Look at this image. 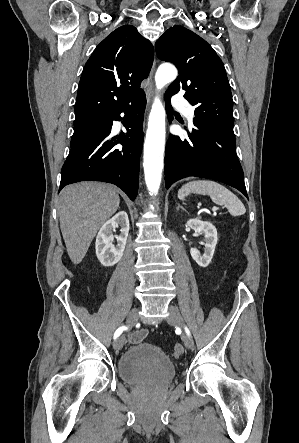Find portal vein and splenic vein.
<instances>
[{
    "instance_id": "obj_1",
    "label": "portal vein and splenic vein",
    "mask_w": 299,
    "mask_h": 443,
    "mask_svg": "<svg viewBox=\"0 0 299 443\" xmlns=\"http://www.w3.org/2000/svg\"><path fill=\"white\" fill-rule=\"evenodd\" d=\"M217 209H218L217 207H213V209H212V210H213V211H215V210H217Z\"/></svg>"
}]
</instances>
